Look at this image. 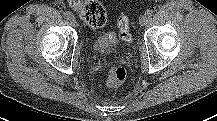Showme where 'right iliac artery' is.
<instances>
[{
  "mask_svg": "<svg viewBox=\"0 0 217 121\" xmlns=\"http://www.w3.org/2000/svg\"><path fill=\"white\" fill-rule=\"evenodd\" d=\"M64 15L67 19H72L74 18L73 14L70 11H65Z\"/></svg>",
  "mask_w": 217,
  "mask_h": 121,
  "instance_id": "1",
  "label": "right iliac artery"
}]
</instances>
